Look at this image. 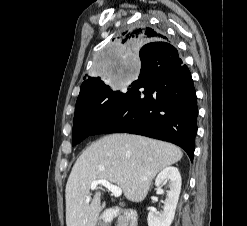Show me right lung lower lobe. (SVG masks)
<instances>
[{
  "instance_id": "98d812e1",
  "label": "right lung lower lobe",
  "mask_w": 247,
  "mask_h": 226,
  "mask_svg": "<svg viewBox=\"0 0 247 226\" xmlns=\"http://www.w3.org/2000/svg\"><path fill=\"white\" fill-rule=\"evenodd\" d=\"M141 71L92 135L128 132L174 143L193 160L196 92L190 71L166 41L140 50Z\"/></svg>"
}]
</instances>
